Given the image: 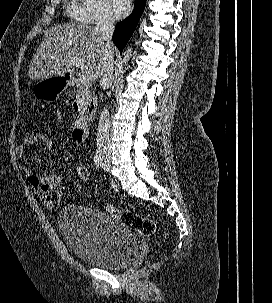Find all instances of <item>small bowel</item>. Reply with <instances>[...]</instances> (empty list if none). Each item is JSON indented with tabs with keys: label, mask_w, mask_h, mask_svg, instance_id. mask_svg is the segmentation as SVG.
Listing matches in <instances>:
<instances>
[{
	"label": "small bowel",
	"mask_w": 272,
	"mask_h": 303,
	"mask_svg": "<svg viewBox=\"0 0 272 303\" xmlns=\"http://www.w3.org/2000/svg\"><path fill=\"white\" fill-rule=\"evenodd\" d=\"M73 140L78 142L73 135ZM36 135L28 136L23 143H20L15 148V155L22 159L25 157L27 148L35 146ZM23 175L28 179L34 190L39 196L53 192L56 185L64 180V176L60 173L39 172L34 173L30 167L23 166L21 168Z\"/></svg>",
	"instance_id": "c3829d8e"
}]
</instances>
